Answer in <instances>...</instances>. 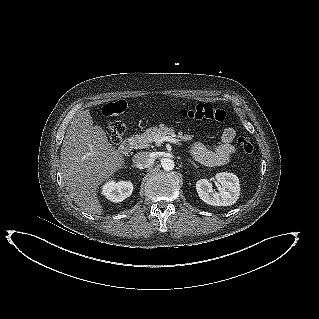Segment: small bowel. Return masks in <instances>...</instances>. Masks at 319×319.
<instances>
[{
  "label": "small bowel",
  "instance_id": "1",
  "mask_svg": "<svg viewBox=\"0 0 319 319\" xmlns=\"http://www.w3.org/2000/svg\"><path fill=\"white\" fill-rule=\"evenodd\" d=\"M236 131L227 127L223 131L221 142L213 149L206 148L197 142L193 144L191 153L196 161L208 167L222 166L227 164L236 152L234 139Z\"/></svg>",
  "mask_w": 319,
  "mask_h": 319
}]
</instances>
